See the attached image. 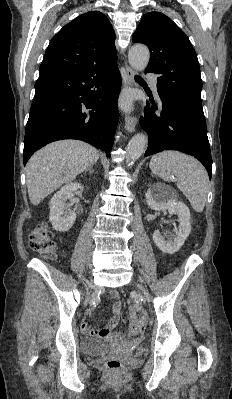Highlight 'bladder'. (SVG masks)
Masks as SVG:
<instances>
[{"instance_id":"31cf9c89","label":"bladder","mask_w":232,"mask_h":399,"mask_svg":"<svg viewBox=\"0 0 232 399\" xmlns=\"http://www.w3.org/2000/svg\"><path fill=\"white\" fill-rule=\"evenodd\" d=\"M81 351L87 356L95 357L106 354L110 347L98 339L85 338L81 341Z\"/></svg>"}]
</instances>
